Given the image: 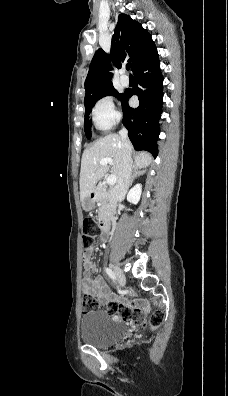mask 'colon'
I'll use <instances>...</instances> for the list:
<instances>
[{"label": "colon", "mask_w": 228, "mask_h": 396, "mask_svg": "<svg viewBox=\"0 0 228 396\" xmlns=\"http://www.w3.org/2000/svg\"><path fill=\"white\" fill-rule=\"evenodd\" d=\"M96 230V225L94 221L90 218H85L83 221V244L86 247L84 251V256L87 253V249L90 247L91 244V234ZM83 256V257H84ZM100 307L99 301L90 294H84L82 300V309L84 312H90L94 310H98ZM108 312L110 315H120L124 319L133 320L137 318L138 315L134 310L129 307L111 303L108 304ZM163 313L160 311L154 312L147 321V325L151 328L159 327L163 322ZM141 318V317H140Z\"/></svg>", "instance_id": "colon-1"}]
</instances>
